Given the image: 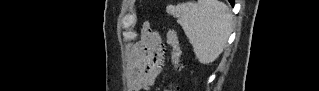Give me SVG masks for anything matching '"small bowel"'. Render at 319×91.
Masks as SVG:
<instances>
[{"label":"small bowel","instance_id":"1","mask_svg":"<svg viewBox=\"0 0 319 91\" xmlns=\"http://www.w3.org/2000/svg\"><path fill=\"white\" fill-rule=\"evenodd\" d=\"M148 51L155 52V60L150 67L142 64L143 57ZM164 56L165 47L160 35L149 29L144 38L132 47L131 84L134 90L147 88L156 82L164 67Z\"/></svg>","mask_w":319,"mask_h":91}]
</instances>
